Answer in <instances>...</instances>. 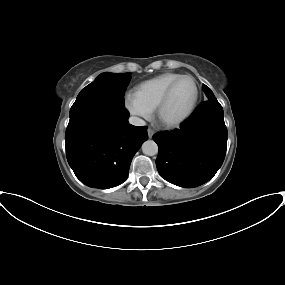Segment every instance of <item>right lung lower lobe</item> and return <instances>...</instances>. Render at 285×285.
Instances as JSON below:
<instances>
[{"label":"right lung lower lobe","mask_w":285,"mask_h":285,"mask_svg":"<svg viewBox=\"0 0 285 285\" xmlns=\"http://www.w3.org/2000/svg\"><path fill=\"white\" fill-rule=\"evenodd\" d=\"M125 107L93 103L70 117L66 156L76 177L92 188L115 187L128 176L133 156L148 139L147 127L128 123Z\"/></svg>","instance_id":"1"}]
</instances>
